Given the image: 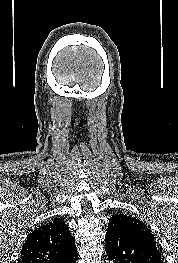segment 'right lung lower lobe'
<instances>
[{
    "label": "right lung lower lobe",
    "instance_id": "1",
    "mask_svg": "<svg viewBox=\"0 0 178 263\" xmlns=\"http://www.w3.org/2000/svg\"><path fill=\"white\" fill-rule=\"evenodd\" d=\"M78 259L77 253L71 256L69 259L65 260L63 263H76Z\"/></svg>",
    "mask_w": 178,
    "mask_h": 263
}]
</instances>
